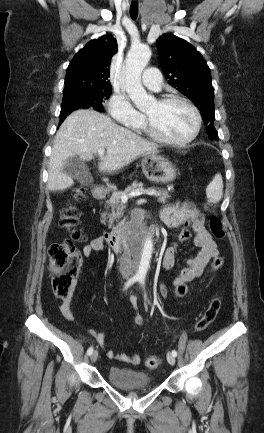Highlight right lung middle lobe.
Listing matches in <instances>:
<instances>
[{
  "mask_svg": "<svg viewBox=\"0 0 264 433\" xmlns=\"http://www.w3.org/2000/svg\"><path fill=\"white\" fill-rule=\"evenodd\" d=\"M112 88L98 89L94 91L73 93L63 98L60 121H63L72 111L79 108H91L103 111L102 102L111 95Z\"/></svg>",
  "mask_w": 264,
  "mask_h": 433,
  "instance_id": "obj_1",
  "label": "right lung middle lobe"
}]
</instances>
